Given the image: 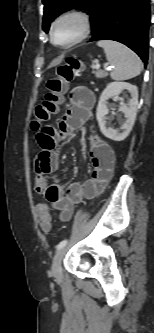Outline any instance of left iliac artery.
<instances>
[{"instance_id": "44dca946", "label": "left iliac artery", "mask_w": 154, "mask_h": 333, "mask_svg": "<svg viewBox=\"0 0 154 333\" xmlns=\"http://www.w3.org/2000/svg\"><path fill=\"white\" fill-rule=\"evenodd\" d=\"M67 243H68V240H67V239L61 241V242L57 245V247H56L57 250H60L61 248L65 247Z\"/></svg>"}]
</instances>
